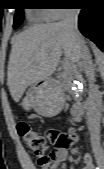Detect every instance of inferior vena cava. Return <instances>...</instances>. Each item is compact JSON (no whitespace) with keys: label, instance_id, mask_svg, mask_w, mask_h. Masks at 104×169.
<instances>
[{"label":"inferior vena cava","instance_id":"1","mask_svg":"<svg viewBox=\"0 0 104 169\" xmlns=\"http://www.w3.org/2000/svg\"><path fill=\"white\" fill-rule=\"evenodd\" d=\"M80 9H67L63 25L71 32L76 40L80 50L81 67L83 68L89 81V97H88V126L90 132V140L93 148L100 146V120L102 115V95L95 84V71L92 58L88 47L85 45L78 30V16Z\"/></svg>","mask_w":104,"mask_h":169}]
</instances>
